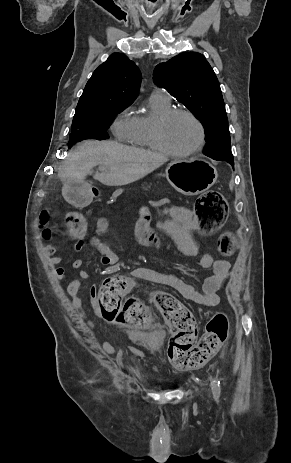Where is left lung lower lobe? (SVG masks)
Returning <instances> with one entry per match:
<instances>
[{
    "mask_svg": "<svg viewBox=\"0 0 291 463\" xmlns=\"http://www.w3.org/2000/svg\"><path fill=\"white\" fill-rule=\"evenodd\" d=\"M215 160L227 161L228 163H230L232 165V167H234V161L231 158L223 157V158H218V159H215Z\"/></svg>",
    "mask_w": 291,
    "mask_h": 463,
    "instance_id": "1",
    "label": "left lung lower lobe"
}]
</instances>
